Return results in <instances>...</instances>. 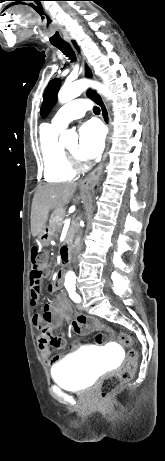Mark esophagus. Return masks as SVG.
Returning a JSON list of instances; mask_svg holds the SVG:
<instances>
[{"label":"esophagus","instance_id":"1","mask_svg":"<svg viewBox=\"0 0 165 461\" xmlns=\"http://www.w3.org/2000/svg\"><path fill=\"white\" fill-rule=\"evenodd\" d=\"M71 46L73 47V49L75 50L77 56H78V59L80 60V62L82 63V68H83V74L85 77L87 78H92L94 79L95 76H94V73H93V70H92V67L90 66V64L88 63L87 59L84 57L83 53H82V50H81V47L79 46V44L77 43L76 40L72 39L69 41ZM87 94H89V90L87 91ZM97 94L100 96L102 102L99 104L100 105V108H101V116H102V120L103 122L107 125L108 127V135H107V141H106V148H105V151H104V154H103V157H102V161L100 162V164L97 166V168L92 171L88 176H86L83 180L80 181L79 185L82 187V188H92L93 185L96 183L98 177H99V174L101 172V169H102V166H103V162L104 160L106 159L107 157V153H108V150H109V146H110V139H111V135H112V125H111V119H110V114H109V111H108V108H107V105L105 103V100L104 98L102 97V95L97 92Z\"/></svg>","mask_w":165,"mask_h":461}]
</instances>
